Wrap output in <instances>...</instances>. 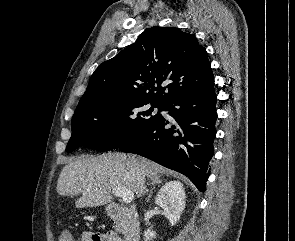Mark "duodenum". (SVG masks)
<instances>
[{"instance_id": "1", "label": "duodenum", "mask_w": 295, "mask_h": 241, "mask_svg": "<svg viewBox=\"0 0 295 241\" xmlns=\"http://www.w3.org/2000/svg\"><path fill=\"white\" fill-rule=\"evenodd\" d=\"M106 211L110 218L124 222L123 241H140L141 225L135 207L110 203Z\"/></svg>"}]
</instances>
